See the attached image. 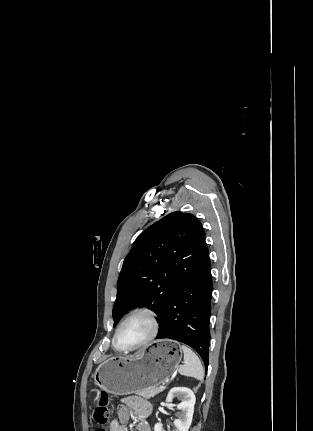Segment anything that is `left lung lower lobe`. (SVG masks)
<instances>
[{
	"label": "left lung lower lobe",
	"instance_id": "1",
	"mask_svg": "<svg viewBox=\"0 0 313 431\" xmlns=\"http://www.w3.org/2000/svg\"><path fill=\"white\" fill-rule=\"evenodd\" d=\"M212 276L208 249L196 268L172 295L159 318L156 339L169 338L192 347L208 368Z\"/></svg>",
	"mask_w": 313,
	"mask_h": 431
}]
</instances>
